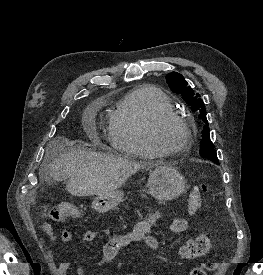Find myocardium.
Returning a JSON list of instances; mask_svg holds the SVG:
<instances>
[{
    "label": "myocardium",
    "mask_w": 263,
    "mask_h": 275,
    "mask_svg": "<svg viewBox=\"0 0 263 275\" xmlns=\"http://www.w3.org/2000/svg\"><path fill=\"white\" fill-rule=\"evenodd\" d=\"M169 121H176L183 125L186 130V137L182 144L174 148H168L163 146L157 133L159 128ZM147 139L153 150L160 156L176 155L185 151L193 139V124L190 118L183 116L175 111H163L157 114L150 122L147 129Z\"/></svg>",
    "instance_id": "obj_1"
}]
</instances>
